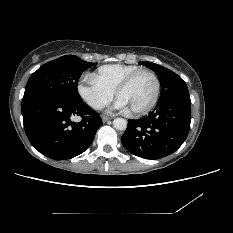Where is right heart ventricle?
Returning <instances> with one entry per match:
<instances>
[{"label":"right heart ventricle","instance_id":"1","mask_svg":"<svg viewBox=\"0 0 233 233\" xmlns=\"http://www.w3.org/2000/svg\"><path fill=\"white\" fill-rule=\"evenodd\" d=\"M141 69L137 65L111 64L100 67L97 72L89 77L110 90L115 92L118 85L131 73Z\"/></svg>","mask_w":233,"mask_h":233}]
</instances>
